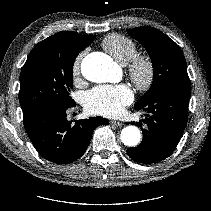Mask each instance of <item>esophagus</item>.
Returning <instances> with one entry per match:
<instances>
[{
  "mask_svg": "<svg viewBox=\"0 0 211 211\" xmlns=\"http://www.w3.org/2000/svg\"><path fill=\"white\" fill-rule=\"evenodd\" d=\"M110 124L114 125V126H122L123 125L122 122L117 121V120H111Z\"/></svg>",
  "mask_w": 211,
  "mask_h": 211,
  "instance_id": "1",
  "label": "esophagus"
}]
</instances>
